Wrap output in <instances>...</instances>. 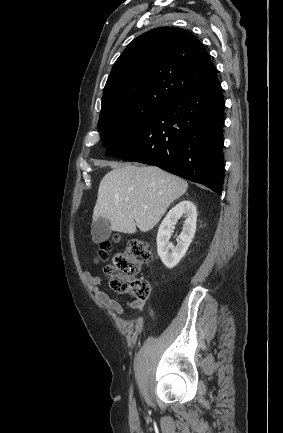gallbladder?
Listing matches in <instances>:
<instances>
[{"label":"gallbladder","mask_w":283,"mask_h":433,"mask_svg":"<svg viewBox=\"0 0 283 433\" xmlns=\"http://www.w3.org/2000/svg\"><path fill=\"white\" fill-rule=\"evenodd\" d=\"M91 235L93 243H103V241H107L111 235V229L108 225L107 219H103V217H99L97 221H92L91 225Z\"/></svg>","instance_id":"obj_1"}]
</instances>
